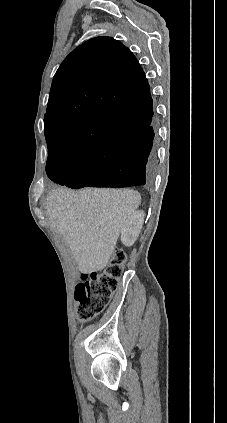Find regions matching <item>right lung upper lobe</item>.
Returning <instances> with one entry per match:
<instances>
[{"instance_id":"cb5924a9","label":"right lung upper lobe","mask_w":227,"mask_h":423,"mask_svg":"<svg viewBox=\"0 0 227 423\" xmlns=\"http://www.w3.org/2000/svg\"><path fill=\"white\" fill-rule=\"evenodd\" d=\"M149 96L145 74L127 47L110 37L90 39L65 58L53 78L46 140L86 152L121 138L132 123L108 119L99 109Z\"/></svg>"}]
</instances>
